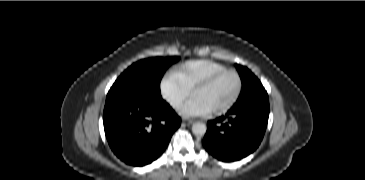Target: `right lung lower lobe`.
<instances>
[{
	"instance_id": "right-lung-lower-lobe-1",
	"label": "right lung lower lobe",
	"mask_w": 365,
	"mask_h": 180,
	"mask_svg": "<svg viewBox=\"0 0 365 180\" xmlns=\"http://www.w3.org/2000/svg\"><path fill=\"white\" fill-rule=\"evenodd\" d=\"M103 122L113 152L143 166L163 153L181 119L161 95L128 94L106 101Z\"/></svg>"
}]
</instances>
